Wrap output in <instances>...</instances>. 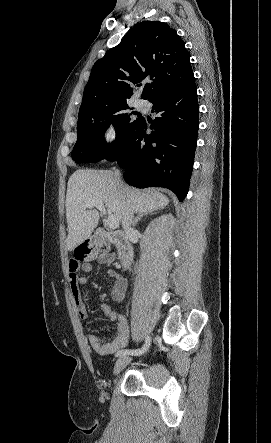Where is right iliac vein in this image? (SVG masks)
<instances>
[{
    "mask_svg": "<svg viewBox=\"0 0 271 443\" xmlns=\"http://www.w3.org/2000/svg\"><path fill=\"white\" fill-rule=\"evenodd\" d=\"M131 360L132 358L130 356L125 355L119 357L114 366V375L119 374L131 362Z\"/></svg>",
    "mask_w": 271,
    "mask_h": 443,
    "instance_id": "63e3f726",
    "label": "right iliac vein"
}]
</instances>
